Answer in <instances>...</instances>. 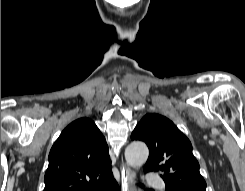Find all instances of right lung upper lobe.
<instances>
[{
  "instance_id": "obj_1",
  "label": "right lung upper lobe",
  "mask_w": 245,
  "mask_h": 191,
  "mask_svg": "<svg viewBox=\"0 0 245 191\" xmlns=\"http://www.w3.org/2000/svg\"><path fill=\"white\" fill-rule=\"evenodd\" d=\"M48 159L44 191H92L113 179L106 140L88 118L62 131Z\"/></svg>"
}]
</instances>
